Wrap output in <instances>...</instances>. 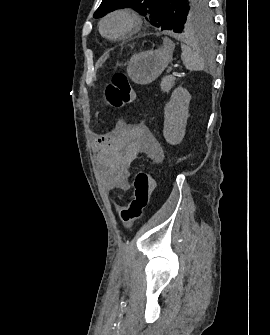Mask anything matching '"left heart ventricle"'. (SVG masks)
<instances>
[{
  "instance_id": "b2bd125f",
  "label": "left heart ventricle",
  "mask_w": 270,
  "mask_h": 335,
  "mask_svg": "<svg viewBox=\"0 0 270 335\" xmlns=\"http://www.w3.org/2000/svg\"><path fill=\"white\" fill-rule=\"evenodd\" d=\"M129 29V23L123 18L116 17L108 21L105 32L109 36L115 37L125 33Z\"/></svg>"
}]
</instances>
